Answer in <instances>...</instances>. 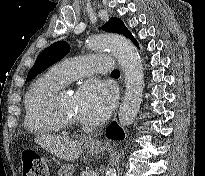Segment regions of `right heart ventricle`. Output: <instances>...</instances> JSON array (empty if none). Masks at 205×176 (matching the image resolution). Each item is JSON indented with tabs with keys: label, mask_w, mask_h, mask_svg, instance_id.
<instances>
[{
	"label": "right heart ventricle",
	"mask_w": 205,
	"mask_h": 176,
	"mask_svg": "<svg viewBox=\"0 0 205 176\" xmlns=\"http://www.w3.org/2000/svg\"><path fill=\"white\" fill-rule=\"evenodd\" d=\"M64 84L51 71L37 78L25 95V126L32 134H54L60 131L52 115L51 100Z\"/></svg>",
	"instance_id": "e07e8e85"
}]
</instances>
